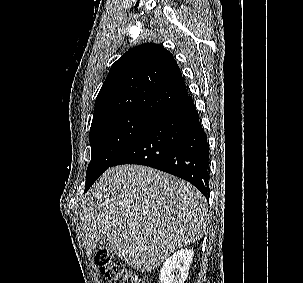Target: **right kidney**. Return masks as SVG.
Segmentation results:
<instances>
[{"label": "right kidney", "mask_w": 303, "mask_h": 283, "mask_svg": "<svg viewBox=\"0 0 303 283\" xmlns=\"http://www.w3.org/2000/svg\"><path fill=\"white\" fill-rule=\"evenodd\" d=\"M194 251L181 249L166 259L160 270V283H184L192 263Z\"/></svg>", "instance_id": "ca27d5eb"}]
</instances>
